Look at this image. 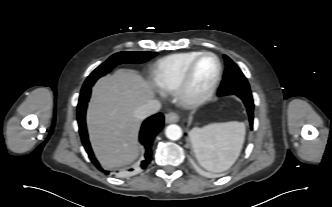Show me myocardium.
Wrapping results in <instances>:
<instances>
[{"mask_svg": "<svg viewBox=\"0 0 332 207\" xmlns=\"http://www.w3.org/2000/svg\"><path fill=\"white\" fill-rule=\"evenodd\" d=\"M213 57L217 63V70L215 77L210 86L203 92H194L192 89V79L195 68L199 61L204 57ZM222 76V64L217 55L211 52H202L186 68L183 77L176 89V96L178 101L186 107H196L208 101L215 93L220 83Z\"/></svg>", "mask_w": 332, "mask_h": 207, "instance_id": "obj_1", "label": "myocardium"}]
</instances>
